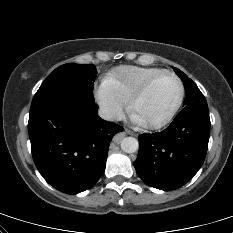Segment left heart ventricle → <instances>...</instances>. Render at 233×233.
<instances>
[{
    "mask_svg": "<svg viewBox=\"0 0 233 233\" xmlns=\"http://www.w3.org/2000/svg\"><path fill=\"white\" fill-rule=\"evenodd\" d=\"M178 96L177 81L171 76H163L136 103L132 114L139 117L144 123L159 121L170 112Z\"/></svg>",
    "mask_w": 233,
    "mask_h": 233,
    "instance_id": "left-heart-ventricle-1",
    "label": "left heart ventricle"
}]
</instances>
